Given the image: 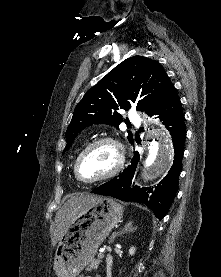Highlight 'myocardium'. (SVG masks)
<instances>
[{"label": "myocardium", "mask_w": 221, "mask_h": 277, "mask_svg": "<svg viewBox=\"0 0 221 277\" xmlns=\"http://www.w3.org/2000/svg\"><path fill=\"white\" fill-rule=\"evenodd\" d=\"M101 144H110L116 151V163L114 165V167L107 172L106 174L94 178V179H84L81 177L80 172H79V166H80V162L83 159V157L94 147L101 145ZM125 162V151H124V147L123 145L116 139L110 136H104V137H100L94 141H92L91 143H89L77 156L76 160H75V164H74V173L76 178L82 182V183H86V184H92V183H98L104 180H107L109 178H112L113 176H115L123 167Z\"/></svg>", "instance_id": "f54148a6"}]
</instances>
